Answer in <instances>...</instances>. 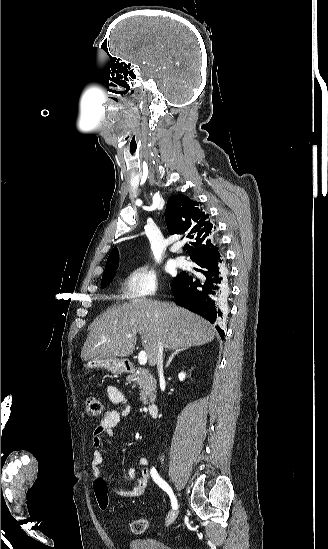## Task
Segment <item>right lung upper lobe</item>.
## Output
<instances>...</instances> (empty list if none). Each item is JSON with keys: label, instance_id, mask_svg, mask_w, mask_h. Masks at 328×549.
<instances>
[{"label": "right lung upper lobe", "instance_id": "cb5924a9", "mask_svg": "<svg viewBox=\"0 0 328 549\" xmlns=\"http://www.w3.org/2000/svg\"><path fill=\"white\" fill-rule=\"evenodd\" d=\"M165 220L170 234L186 235L191 241L190 258L193 262L220 255L216 227L209 214L199 209V203L183 194L168 199ZM119 263V253L114 248L106 262L104 272Z\"/></svg>", "mask_w": 328, "mask_h": 549}]
</instances>
